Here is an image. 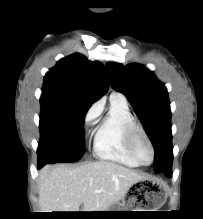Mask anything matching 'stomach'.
<instances>
[{"instance_id": "0dacf381", "label": "stomach", "mask_w": 203, "mask_h": 219, "mask_svg": "<svg viewBox=\"0 0 203 219\" xmlns=\"http://www.w3.org/2000/svg\"><path fill=\"white\" fill-rule=\"evenodd\" d=\"M132 194L126 199L123 198L121 203L113 204L106 211H157L165 202V189L161 184H158L150 179H144L136 182ZM140 210H128V209ZM142 209V210H141ZM111 217L118 215L115 212L103 214Z\"/></svg>"}]
</instances>
